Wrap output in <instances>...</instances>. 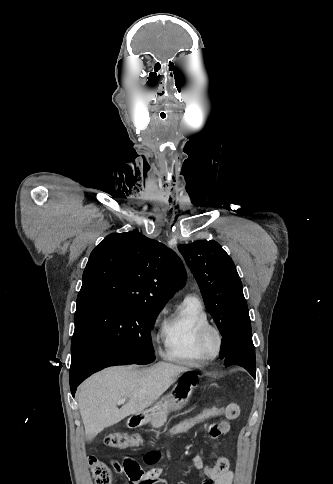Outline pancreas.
<instances>
[{
	"mask_svg": "<svg viewBox=\"0 0 333 484\" xmlns=\"http://www.w3.org/2000/svg\"><path fill=\"white\" fill-rule=\"evenodd\" d=\"M168 413H169V410H166V411H161V412L153 415L149 419V422L152 425V427L153 428H160L161 426H163L164 423H166V421H167Z\"/></svg>",
	"mask_w": 333,
	"mask_h": 484,
	"instance_id": "pancreas-1",
	"label": "pancreas"
}]
</instances>
